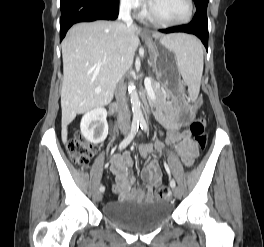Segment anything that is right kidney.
Segmentation results:
<instances>
[{"label":"right kidney","mask_w":264,"mask_h":247,"mask_svg":"<svg viewBox=\"0 0 264 247\" xmlns=\"http://www.w3.org/2000/svg\"><path fill=\"white\" fill-rule=\"evenodd\" d=\"M107 111L95 108L84 114L80 123L82 136L91 143L103 142L108 135Z\"/></svg>","instance_id":"right-kidney-1"}]
</instances>
